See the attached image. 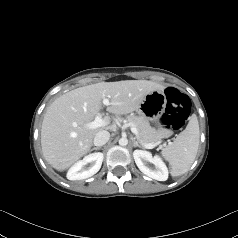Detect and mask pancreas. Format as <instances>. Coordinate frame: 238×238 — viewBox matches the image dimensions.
Masks as SVG:
<instances>
[{
    "instance_id": "obj_1",
    "label": "pancreas",
    "mask_w": 238,
    "mask_h": 238,
    "mask_svg": "<svg viewBox=\"0 0 238 238\" xmlns=\"http://www.w3.org/2000/svg\"><path fill=\"white\" fill-rule=\"evenodd\" d=\"M126 121L136 127L138 130L137 138L142 144L158 143L161 138L168 137L171 132L167 130H157L150 126L149 121L142 117L130 114L126 117Z\"/></svg>"
}]
</instances>
